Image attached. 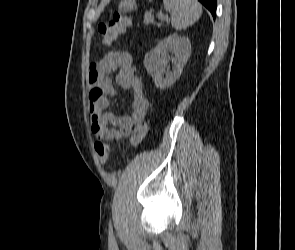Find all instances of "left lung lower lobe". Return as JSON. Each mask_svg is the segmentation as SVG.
Wrapping results in <instances>:
<instances>
[{
  "instance_id": "0a47b994",
  "label": "left lung lower lobe",
  "mask_w": 295,
  "mask_h": 250,
  "mask_svg": "<svg viewBox=\"0 0 295 250\" xmlns=\"http://www.w3.org/2000/svg\"><path fill=\"white\" fill-rule=\"evenodd\" d=\"M212 14L213 18L216 16V0H199Z\"/></svg>"
}]
</instances>
